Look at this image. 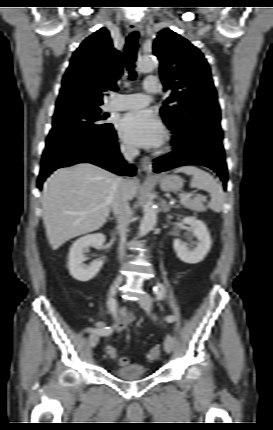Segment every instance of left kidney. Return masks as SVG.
<instances>
[{"label": "left kidney", "instance_id": "left-kidney-1", "mask_svg": "<svg viewBox=\"0 0 273 430\" xmlns=\"http://www.w3.org/2000/svg\"><path fill=\"white\" fill-rule=\"evenodd\" d=\"M182 222L190 226L192 234L196 237L197 241L191 243V246L194 247L190 249L187 242L175 239L174 250L181 261L188 264L199 263L205 258L211 248L210 233L206 224L194 217H186Z\"/></svg>", "mask_w": 273, "mask_h": 430}]
</instances>
